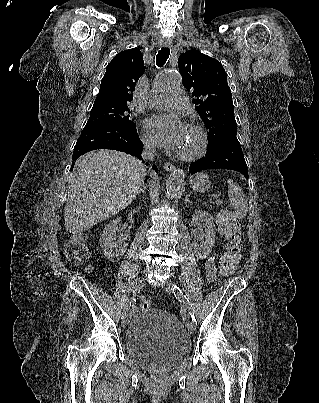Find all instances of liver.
<instances>
[{
	"mask_svg": "<svg viewBox=\"0 0 319 403\" xmlns=\"http://www.w3.org/2000/svg\"><path fill=\"white\" fill-rule=\"evenodd\" d=\"M145 176L144 165L123 152L98 150L80 157L68 182L66 230L81 233L119 213L136 197Z\"/></svg>",
	"mask_w": 319,
	"mask_h": 403,
	"instance_id": "liver-1",
	"label": "liver"
}]
</instances>
